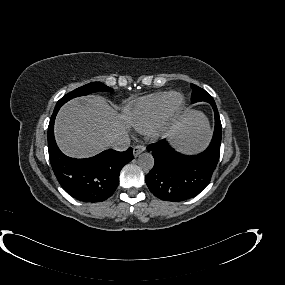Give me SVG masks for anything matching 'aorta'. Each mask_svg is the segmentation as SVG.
Segmentation results:
<instances>
[{
    "instance_id": "obj_1",
    "label": "aorta",
    "mask_w": 285,
    "mask_h": 285,
    "mask_svg": "<svg viewBox=\"0 0 285 285\" xmlns=\"http://www.w3.org/2000/svg\"><path fill=\"white\" fill-rule=\"evenodd\" d=\"M138 165L145 171H149L154 166V158L150 153H142L138 157Z\"/></svg>"
}]
</instances>
